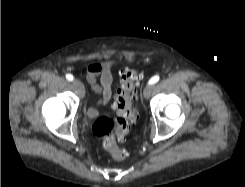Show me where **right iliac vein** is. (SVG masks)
I'll use <instances>...</instances> for the list:
<instances>
[{
  "label": "right iliac vein",
  "mask_w": 245,
  "mask_h": 187,
  "mask_svg": "<svg viewBox=\"0 0 245 187\" xmlns=\"http://www.w3.org/2000/svg\"><path fill=\"white\" fill-rule=\"evenodd\" d=\"M72 85L75 88V90L78 92L79 96L84 97L85 89L83 84L79 80H73Z\"/></svg>",
  "instance_id": "63e3f726"
}]
</instances>
